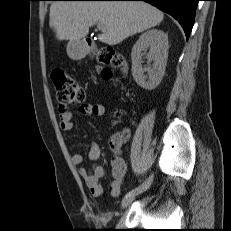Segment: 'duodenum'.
<instances>
[{
  "label": "duodenum",
  "instance_id": "obj_1",
  "mask_svg": "<svg viewBox=\"0 0 231 231\" xmlns=\"http://www.w3.org/2000/svg\"><path fill=\"white\" fill-rule=\"evenodd\" d=\"M79 49L83 53H90L94 50V47L89 39H85L82 41L81 45L79 46Z\"/></svg>",
  "mask_w": 231,
  "mask_h": 231
}]
</instances>
